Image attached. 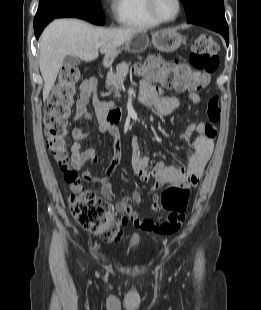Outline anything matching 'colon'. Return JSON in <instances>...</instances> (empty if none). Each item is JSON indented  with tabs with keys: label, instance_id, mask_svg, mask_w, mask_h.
Listing matches in <instances>:
<instances>
[{
	"label": "colon",
	"instance_id": "obj_1",
	"mask_svg": "<svg viewBox=\"0 0 261 310\" xmlns=\"http://www.w3.org/2000/svg\"><path fill=\"white\" fill-rule=\"evenodd\" d=\"M217 51V42L210 35L201 34L193 43L190 65L178 61H165L153 55L140 66V71L167 89L178 92L198 91L207 85L209 75L218 67ZM79 78V69L73 65L64 66L59 73L45 109L46 146L62 172L64 180L70 185L80 187V190L72 194L68 200L76 222L103 240L115 243L123 235L122 227L127 222L126 217L110 212L104 199L92 191L81 188L77 172L69 166L68 125ZM220 115L218 98L212 97L207 105L208 122L200 123L198 130L204 136L214 138L217 131L213 124L219 121ZM192 187L194 185L190 182H181L166 189L156 199V204L169 214L158 221L144 223L145 230L162 235L176 233L185 222V211Z\"/></svg>",
	"mask_w": 261,
	"mask_h": 310
}]
</instances>
